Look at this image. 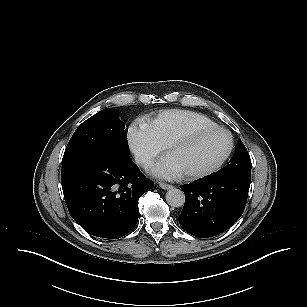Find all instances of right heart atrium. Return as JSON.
I'll return each mask as SVG.
<instances>
[{"instance_id":"d8ad5b80","label":"right heart atrium","mask_w":307,"mask_h":307,"mask_svg":"<svg viewBox=\"0 0 307 307\" xmlns=\"http://www.w3.org/2000/svg\"><path fill=\"white\" fill-rule=\"evenodd\" d=\"M127 142L136 162L144 168L151 166L163 150L144 123L129 126Z\"/></svg>"}]
</instances>
